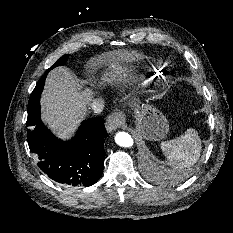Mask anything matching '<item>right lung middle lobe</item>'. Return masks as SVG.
Instances as JSON below:
<instances>
[{
    "label": "right lung middle lobe",
    "mask_w": 233,
    "mask_h": 233,
    "mask_svg": "<svg viewBox=\"0 0 233 233\" xmlns=\"http://www.w3.org/2000/svg\"><path fill=\"white\" fill-rule=\"evenodd\" d=\"M68 54L62 56L61 58H59L46 72L45 74H47L51 69L57 67V66H62L68 59ZM40 116V108L39 106H32V107H28V118H27V123L26 125L29 127V130L33 129V126L36 122V120L38 119V117Z\"/></svg>",
    "instance_id": "dd1d6c3e"
}]
</instances>
